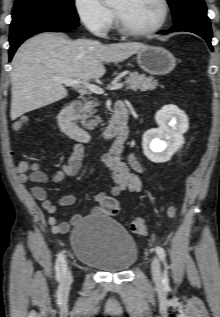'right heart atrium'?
<instances>
[{"instance_id": "right-heart-atrium-1", "label": "right heart atrium", "mask_w": 220, "mask_h": 317, "mask_svg": "<svg viewBox=\"0 0 220 317\" xmlns=\"http://www.w3.org/2000/svg\"><path fill=\"white\" fill-rule=\"evenodd\" d=\"M74 8L80 22L96 35H105L112 27V11L100 0H74Z\"/></svg>"}]
</instances>
